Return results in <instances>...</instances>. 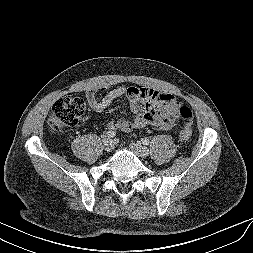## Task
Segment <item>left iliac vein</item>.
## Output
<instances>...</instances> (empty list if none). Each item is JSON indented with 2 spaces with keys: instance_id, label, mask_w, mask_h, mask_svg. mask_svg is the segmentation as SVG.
<instances>
[{
  "instance_id": "obj_1",
  "label": "left iliac vein",
  "mask_w": 253,
  "mask_h": 253,
  "mask_svg": "<svg viewBox=\"0 0 253 253\" xmlns=\"http://www.w3.org/2000/svg\"><path fill=\"white\" fill-rule=\"evenodd\" d=\"M130 148L131 150L136 153L138 156L145 158L148 156L149 152L148 149L146 147H144L141 143L137 142H133L130 144Z\"/></svg>"
}]
</instances>
